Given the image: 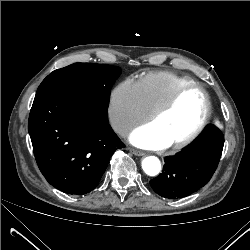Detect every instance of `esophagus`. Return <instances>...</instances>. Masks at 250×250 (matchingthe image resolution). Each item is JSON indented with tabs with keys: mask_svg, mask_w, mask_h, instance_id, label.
Masks as SVG:
<instances>
[{
	"mask_svg": "<svg viewBox=\"0 0 250 250\" xmlns=\"http://www.w3.org/2000/svg\"><path fill=\"white\" fill-rule=\"evenodd\" d=\"M130 152L133 153L136 156H143L144 153L141 150L135 149V148H129Z\"/></svg>",
	"mask_w": 250,
	"mask_h": 250,
	"instance_id": "obj_1",
	"label": "esophagus"
}]
</instances>
